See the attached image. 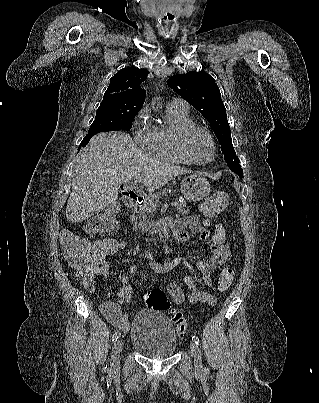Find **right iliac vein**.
<instances>
[{
  "label": "right iliac vein",
  "mask_w": 319,
  "mask_h": 403,
  "mask_svg": "<svg viewBox=\"0 0 319 403\" xmlns=\"http://www.w3.org/2000/svg\"><path fill=\"white\" fill-rule=\"evenodd\" d=\"M123 340L119 339L115 342L113 349H112V354H111V370L112 372H116L119 369L120 361H119V356L120 353L123 349Z\"/></svg>",
  "instance_id": "1"
}]
</instances>
